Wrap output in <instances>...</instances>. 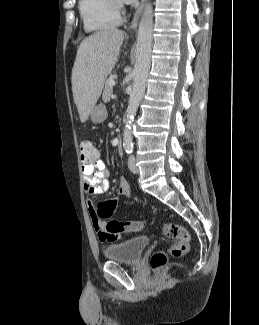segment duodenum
<instances>
[{
  "label": "duodenum",
  "instance_id": "410a0bca",
  "mask_svg": "<svg viewBox=\"0 0 259 325\" xmlns=\"http://www.w3.org/2000/svg\"><path fill=\"white\" fill-rule=\"evenodd\" d=\"M116 146L118 150L122 148V139L120 137L117 139Z\"/></svg>",
  "mask_w": 259,
  "mask_h": 325
}]
</instances>
